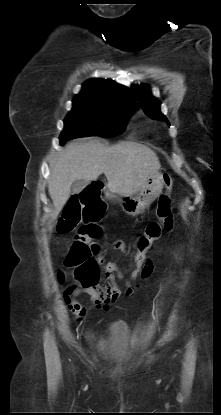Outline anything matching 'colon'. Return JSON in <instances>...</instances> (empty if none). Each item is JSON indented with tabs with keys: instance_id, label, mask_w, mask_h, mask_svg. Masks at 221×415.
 <instances>
[{
	"instance_id": "obj_1",
	"label": "colon",
	"mask_w": 221,
	"mask_h": 415,
	"mask_svg": "<svg viewBox=\"0 0 221 415\" xmlns=\"http://www.w3.org/2000/svg\"><path fill=\"white\" fill-rule=\"evenodd\" d=\"M164 182L167 192L161 195L158 201V221L147 225L145 233L138 237L136 241L137 250L130 258L131 274L129 275V284L126 285L127 289L132 288L138 275L146 269V263L148 262L147 250L160 235L164 225L172 220L170 207L171 177L165 175ZM102 216L101 202L95 188L91 187L70 199L57 225L59 234H68L82 223L66 255L65 265L73 269L76 278L88 286H94L98 283L100 263H103L104 266L101 271L105 279H111L112 282L126 281V276L120 275L115 270L120 266V261L109 259L108 256H100L102 249L100 245L93 242L102 235V227L99 224ZM59 280L63 281V275H59Z\"/></svg>"
}]
</instances>
